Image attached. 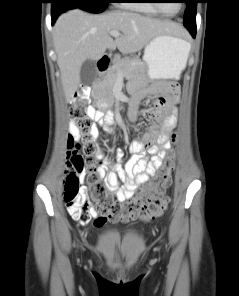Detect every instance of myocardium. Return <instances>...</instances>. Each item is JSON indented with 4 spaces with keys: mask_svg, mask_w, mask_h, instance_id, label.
Segmentation results:
<instances>
[{
    "mask_svg": "<svg viewBox=\"0 0 239 296\" xmlns=\"http://www.w3.org/2000/svg\"><path fill=\"white\" fill-rule=\"evenodd\" d=\"M152 1V5L161 13V14H163V15H165V16H172V15H174V13H177L179 10H180V5L181 4H179V7H178V9H177V11L176 12H174V13H172V14H169V13H167V12H165L164 11V9L161 7V5H160V3H158V1L157 0H151Z\"/></svg>",
    "mask_w": 239,
    "mask_h": 296,
    "instance_id": "f54148a6",
    "label": "myocardium"
}]
</instances>
